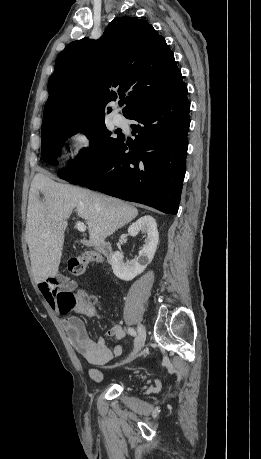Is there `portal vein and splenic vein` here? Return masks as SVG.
Returning a JSON list of instances; mask_svg holds the SVG:
<instances>
[{
  "label": "portal vein and splenic vein",
  "mask_w": 261,
  "mask_h": 459,
  "mask_svg": "<svg viewBox=\"0 0 261 459\" xmlns=\"http://www.w3.org/2000/svg\"><path fill=\"white\" fill-rule=\"evenodd\" d=\"M75 227L80 231V232H85L86 231V225L83 222L77 221Z\"/></svg>",
  "instance_id": "portal-vein-and-splenic-vein-1"
}]
</instances>
